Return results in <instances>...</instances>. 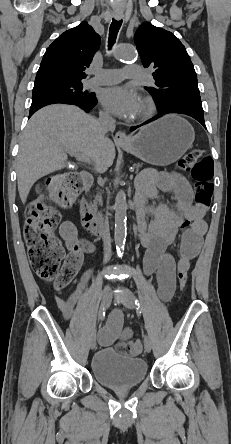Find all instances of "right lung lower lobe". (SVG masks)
Masks as SVG:
<instances>
[{
	"label": "right lung lower lobe",
	"mask_w": 231,
	"mask_h": 444,
	"mask_svg": "<svg viewBox=\"0 0 231 444\" xmlns=\"http://www.w3.org/2000/svg\"><path fill=\"white\" fill-rule=\"evenodd\" d=\"M55 103H65V104H73L76 106H79L86 112H88L90 109H92L96 105V99L89 101V102H80V101H73V100H66V99H44L36 102H32L31 108H30V114L29 117L33 115L34 112H36L38 109L49 105V104H55Z\"/></svg>",
	"instance_id": "obj_1"
}]
</instances>
